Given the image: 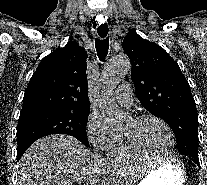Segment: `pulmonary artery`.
<instances>
[{
    "mask_svg": "<svg viewBox=\"0 0 207 185\" xmlns=\"http://www.w3.org/2000/svg\"><path fill=\"white\" fill-rule=\"evenodd\" d=\"M129 91H132V86H118L115 97L119 103L126 106L131 105L133 99Z\"/></svg>",
    "mask_w": 207,
    "mask_h": 185,
    "instance_id": "obj_1",
    "label": "pulmonary artery"
}]
</instances>
